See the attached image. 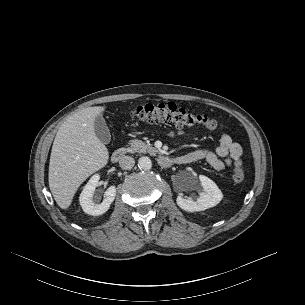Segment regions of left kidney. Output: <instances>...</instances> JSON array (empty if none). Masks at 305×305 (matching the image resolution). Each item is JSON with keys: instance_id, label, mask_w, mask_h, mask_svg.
Wrapping results in <instances>:
<instances>
[{"instance_id": "left-kidney-1", "label": "left kidney", "mask_w": 305, "mask_h": 305, "mask_svg": "<svg viewBox=\"0 0 305 305\" xmlns=\"http://www.w3.org/2000/svg\"><path fill=\"white\" fill-rule=\"evenodd\" d=\"M200 182L203 192L195 200L191 197L179 195L176 199L177 205L188 212L203 211L216 206L223 198L218 186L210 178L200 175L186 183V190L195 189Z\"/></svg>"}]
</instances>
